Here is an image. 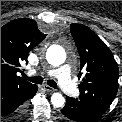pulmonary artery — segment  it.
Here are the masks:
<instances>
[{
	"instance_id": "e3ab8cb5",
	"label": "pulmonary artery",
	"mask_w": 122,
	"mask_h": 122,
	"mask_svg": "<svg viewBox=\"0 0 122 122\" xmlns=\"http://www.w3.org/2000/svg\"><path fill=\"white\" fill-rule=\"evenodd\" d=\"M71 69L69 65H63L57 69H53L47 72L50 76H55L58 79V83L61 89L69 96H77L79 91L76 85L71 80Z\"/></svg>"
}]
</instances>
